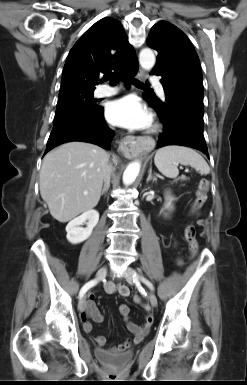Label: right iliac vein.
Returning <instances> with one entry per match:
<instances>
[{"instance_id": "right-iliac-vein-1", "label": "right iliac vein", "mask_w": 247, "mask_h": 385, "mask_svg": "<svg viewBox=\"0 0 247 385\" xmlns=\"http://www.w3.org/2000/svg\"><path fill=\"white\" fill-rule=\"evenodd\" d=\"M106 273H107V267L106 266L101 267L96 274V279L102 280L105 277ZM85 308H86V297H82L78 303V309L80 311H84Z\"/></svg>"}]
</instances>
